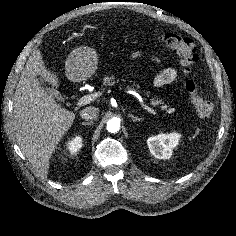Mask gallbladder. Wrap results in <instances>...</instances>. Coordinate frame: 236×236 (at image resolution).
Masks as SVG:
<instances>
[{"instance_id":"obj_1","label":"gallbladder","mask_w":236,"mask_h":236,"mask_svg":"<svg viewBox=\"0 0 236 236\" xmlns=\"http://www.w3.org/2000/svg\"><path fill=\"white\" fill-rule=\"evenodd\" d=\"M38 80L41 82V84L44 85V90L50 94L53 98H56L57 100L61 99V94L54 88L48 86L47 84H44V81L41 76L38 77Z\"/></svg>"}]
</instances>
